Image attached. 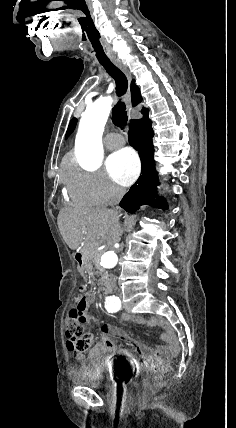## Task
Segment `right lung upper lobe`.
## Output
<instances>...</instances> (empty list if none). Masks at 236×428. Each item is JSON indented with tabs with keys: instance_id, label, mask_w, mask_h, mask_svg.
<instances>
[{
	"instance_id": "obj_1",
	"label": "right lung upper lobe",
	"mask_w": 236,
	"mask_h": 428,
	"mask_svg": "<svg viewBox=\"0 0 236 428\" xmlns=\"http://www.w3.org/2000/svg\"><path fill=\"white\" fill-rule=\"evenodd\" d=\"M131 96H132V104L133 106H136L137 104H139L142 101V97L140 95V90L138 88V86L134 83V81L131 83ZM142 113L148 114V110L143 108ZM135 120H131L130 121V125L134 122Z\"/></svg>"
}]
</instances>
